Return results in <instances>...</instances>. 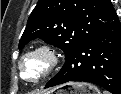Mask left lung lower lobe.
Listing matches in <instances>:
<instances>
[{"label": "left lung lower lobe", "mask_w": 121, "mask_h": 94, "mask_svg": "<svg viewBox=\"0 0 121 94\" xmlns=\"http://www.w3.org/2000/svg\"><path fill=\"white\" fill-rule=\"evenodd\" d=\"M70 81L91 82L112 94H121V24L118 18L75 49L45 88Z\"/></svg>", "instance_id": "obj_1"}]
</instances>
